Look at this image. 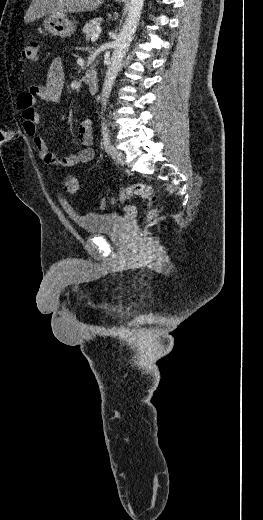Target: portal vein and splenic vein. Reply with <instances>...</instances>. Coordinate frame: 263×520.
Returning <instances> with one entry per match:
<instances>
[{
  "mask_svg": "<svg viewBox=\"0 0 263 520\" xmlns=\"http://www.w3.org/2000/svg\"><path fill=\"white\" fill-rule=\"evenodd\" d=\"M100 33L101 32L98 31L97 33L93 34L92 37H91V41L92 42L96 41L99 38Z\"/></svg>",
  "mask_w": 263,
  "mask_h": 520,
  "instance_id": "18ae733b",
  "label": "portal vein and splenic vein"
}]
</instances>
